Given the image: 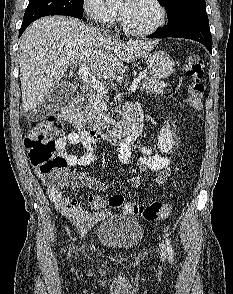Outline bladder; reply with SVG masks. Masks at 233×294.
<instances>
[{"label": "bladder", "mask_w": 233, "mask_h": 294, "mask_svg": "<svg viewBox=\"0 0 233 294\" xmlns=\"http://www.w3.org/2000/svg\"><path fill=\"white\" fill-rule=\"evenodd\" d=\"M97 241L105 247L116 250H131L143 238L140 223L128 215H111L96 230Z\"/></svg>", "instance_id": "bladder-1"}]
</instances>
